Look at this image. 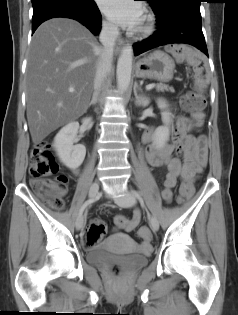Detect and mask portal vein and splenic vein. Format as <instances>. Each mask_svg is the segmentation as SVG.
<instances>
[{
  "label": "portal vein and splenic vein",
  "mask_w": 238,
  "mask_h": 315,
  "mask_svg": "<svg viewBox=\"0 0 238 315\" xmlns=\"http://www.w3.org/2000/svg\"><path fill=\"white\" fill-rule=\"evenodd\" d=\"M154 87V84H149V85H147L146 86V89H151V88H153ZM69 92H74V88H69Z\"/></svg>",
  "instance_id": "1"
}]
</instances>
